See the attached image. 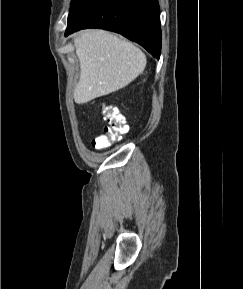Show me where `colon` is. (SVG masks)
<instances>
[{
    "instance_id": "1",
    "label": "colon",
    "mask_w": 243,
    "mask_h": 289,
    "mask_svg": "<svg viewBox=\"0 0 243 289\" xmlns=\"http://www.w3.org/2000/svg\"><path fill=\"white\" fill-rule=\"evenodd\" d=\"M102 114L109 125L105 127L102 134L93 139L92 146L96 149L109 147L129 130L125 116L120 113L117 107L105 105L102 108Z\"/></svg>"
}]
</instances>
